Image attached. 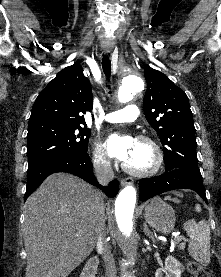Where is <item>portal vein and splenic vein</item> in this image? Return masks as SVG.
Segmentation results:
<instances>
[{
  "mask_svg": "<svg viewBox=\"0 0 221 277\" xmlns=\"http://www.w3.org/2000/svg\"><path fill=\"white\" fill-rule=\"evenodd\" d=\"M175 236V243H178L184 239L183 236H180L179 233H174Z\"/></svg>",
  "mask_w": 221,
  "mask_h": 277,
  "instance_id": "1",
  "label": "portal vein and splenic vein"
}]
</instances>
